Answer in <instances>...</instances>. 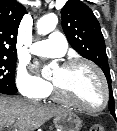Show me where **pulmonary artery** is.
Masks as SVG:
<instances>
[{
  "mask_svg": "<svg viewBox=\"0 0 117 131\" xmlns=\"http://www.w3.org/2000/svg\"><path fill=\"white\" fill-rule=\"evenodd\" d=\"M67 50V42L64 35L58 31L52 32L45 40L34 42L30 51L44 57H60Z\"/></svg>",
  "mask_w": 117,
  "mask_h": 131,
  "instance_id": "pulmonary-artery-1",
  "label": "pulmonary artery"
}]
</instances>
